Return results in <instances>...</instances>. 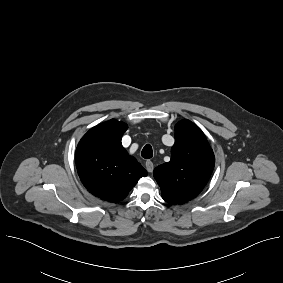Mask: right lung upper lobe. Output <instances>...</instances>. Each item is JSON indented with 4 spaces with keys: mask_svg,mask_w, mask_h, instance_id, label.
Listing matches in <instances>:
<instances>
[{
    "mask_svg": "<svg viewBox=\"0 0 283 283\" xmlns=\"http://www.w3.org/2000/svg\"><path fill=\"white\" fill-rule=\"evenodd\" d=\"M127 125L114 119L90 129L76 149V167L86 189L109 202L125 199L146 170L121 143Z\"/></svg>",
    "mask_w": 283,
    "mask_h": 283,
    "instance_id": "right-lung-upper-lobe-1",
    "label": "right lung upper lobe"
}]
</instances>
